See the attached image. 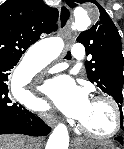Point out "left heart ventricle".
<instances>
[{
	"mask_svg": "<svg viewBox=\"0 0 124 149\" xmlns=\"http://www.w3.org/2000/svg\"><path fill=\"white\" fill-rule=\"evenodd\" d=\"M79 120L89 130L100 135L110 133L115 124L113 110L104 101H91L85 114Z\"/></svg>",
	"mask_w": 124,
	"mask_h": 149,
	"instance_id": "left-heart-ventricle-1",
	"label": "left heart ventricle"
}]
</instances>
